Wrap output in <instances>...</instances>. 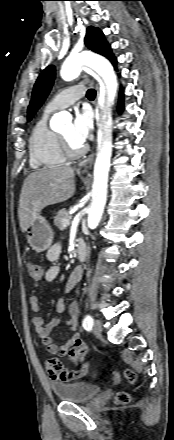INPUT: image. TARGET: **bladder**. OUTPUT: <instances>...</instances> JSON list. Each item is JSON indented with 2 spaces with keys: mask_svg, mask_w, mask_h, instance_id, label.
Here are the masks:
<instances>
[{
  "mask_svg": "<svg viewBox=\"0 0 174 440\" xmlns=\"http://www.w3.org/2000/svg\"><path fill=\"white\" fill-rule=\"evenodd\" d=\"M56 397L65 402L84 403L90 401L99 392L100 387L90 382L51 383Z\"/></svg>",
  "mask_w": 174,
  "mask_h": 440,
  "instance_id": "31cf9c89",
  "label": "bladder"
}]
</instances>
